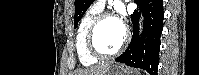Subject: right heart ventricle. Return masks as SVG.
Listing matches in <instances>:
<instances>
[{
	"label": "right heart ventricle",
	"instance_id": "1",
	"mask_svg": "<svg viewBox=\"0 0 199 75\" xmlns=\"http://www.w3.org/2000/svg\"><path fill=\"white\" fill-rule=\"evenodd\" d=\"M101 9L92 6L82 16L76 32L75 43L77 56L81 64L85 66L94 65L98 62V58L90 54L86 46V32L94 20L101 13Z\"/></svg>",
	"mask_w": 199,
	"mask_h": 75
}]
</instances>
